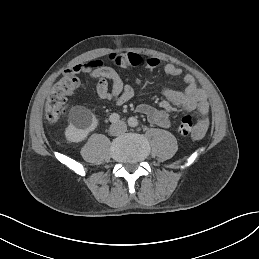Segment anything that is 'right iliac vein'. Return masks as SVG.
<instances>
[{
  "label": "right iliac vein",
  "instance_id": "63e3f726",
  "mask_svg": "<svg viewBox=\"0 0 259 259\" xmlns=\"http://www.w3.org/2000/svg\"><path fill=\"white\" fill-rule=\"evenodd\" d=\"M110 132H111L112 134H117V133H118V127H117V126H112V127L110 128Z\"/></svg>",
  "mask_w": 259,
  "mask_h": 259
}]
</instances>
